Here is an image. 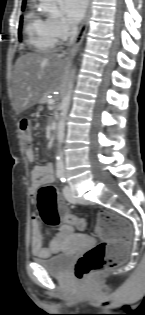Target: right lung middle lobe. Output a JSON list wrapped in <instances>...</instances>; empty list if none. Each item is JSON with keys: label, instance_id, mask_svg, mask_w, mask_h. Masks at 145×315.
<instances>
[{"label": "right lung middle lobe", "instance_id": "obj_1", "mask_svg": "<svg viewBox=\"0 0 145 315\" xmlns=\"http://www.w3.org/2000/svg\"><path fill=\"white\" fill-rule=\"evenodd\" d=\"M24 9V6L22 7ZM22 17L20 18V26H19V38H21V27H22Z\"/></svg>", "mask_w": 145, "mask_h": 315}]
</instances>
